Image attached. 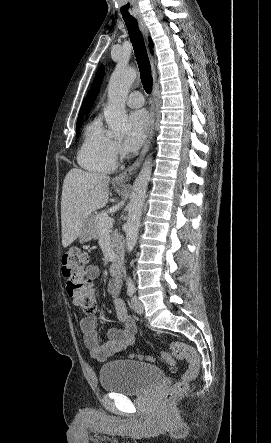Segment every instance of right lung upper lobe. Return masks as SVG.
Segmentation results:
<instances>
[{"label": "right lung upper lobe", "mask_w": 271, "mask_h": 443, "mask_svg": "<svg viewBox=\"0 0 271 443\" xmlns=\"http://www.w3.org/2000/svg\"><path fill=\"white\" fill-rule=\"evenodd\" d=\"M149 42L152 45V40L151 39H149ZM150 49H151V52H153L152 51V46H150ZM83 112H84V103L82 104V107L80 109L79 116H78L77 120H83Z\"/></svg>", "instance_id": "1"}]
</instances>
